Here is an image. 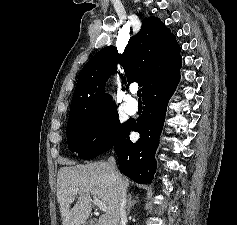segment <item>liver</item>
<instances>
[{
	"instance_id": "liver-1",
	"label": "liver",
	"mask_w": 237,
	"mask_h": 225,
	"mask_svg": "<svg viewBox=\"0 0 237 225\" xmlns=\"http://www.w3.org/2000/svg\"><path fill=\"white\" fill-rule=\"evenodd\" d=\"M71 164V163H66ZM125 190L129 180L120 175V181L112 175L108 162H92L60 168L57 176V201L62 225H84L92 211L91 195L106 206L105 213L96 225H119L118 187ZM78 199L74 206L71 204Z\"/></svg>"
}]
</instances>
